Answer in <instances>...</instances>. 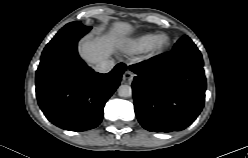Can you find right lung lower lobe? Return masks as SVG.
<instances>
[{
    "instance_id": "obj_1",
    "label": "right lung lower lobe",
    "mask_w": 248,
    "mask_h": 158,
    "mask_svg": "<svg viewBox=\"0 0 248 158\" xmlns=\"http://www.w3.org/2000/svg\"><path fill=\"white\" fill-rule=\"evenodd\" d=\"M91 27L62 28L47 44L36 71L38 104L54 125L69 131L97 127L105 103L120 84L126 65L101 74L89 68L77 52L78 40Z\"/></svg>"
}]
</instances>
